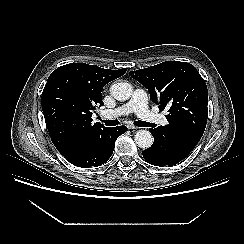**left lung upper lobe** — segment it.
I'll return each mask as SVG.
<instances>
[{
  "instance_id": "1",
  "label": "left lung upper lobe",
  "mask_w": 244,
  "mask_h": 244,
  "mask_svg": "<svg viewBox=\"0 0 244 244\" xmlns=\"http://www.w3.org/2000/svg\"><path fill=\"white\" fill-rule=\"evenodd\" d=\"M129 74L148 89L161 111L169 107V124L155 128L154 142L190 153L202 137L208 117V90L197 69L186 62L166 61Z\"/></svg>"
}]
</instances>
